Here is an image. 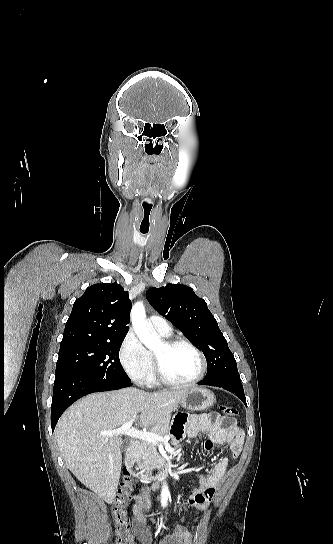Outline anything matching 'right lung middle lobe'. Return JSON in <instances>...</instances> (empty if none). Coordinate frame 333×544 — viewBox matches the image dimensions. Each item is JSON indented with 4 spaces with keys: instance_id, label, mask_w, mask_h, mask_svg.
I'll use <instances>...</instances> for the list:
<instances>
[{
    "instance_id": "obj_1",
    "label": "right lung middle lobe",
    "mask_w": 333,
    "mask_h": 544,
    "mask_svg": "<svg viewBox=\"0 0 333 544\" xmlns=\"http://www.w3.org/2000/svg\"><path fill=\"white\" fill-rule=\"evenodd\" d=\"M123 340L124 337L60 348L56 373L68 371L97 380L130 382L119 360Z\"/></svg>"
}]
</instances>
